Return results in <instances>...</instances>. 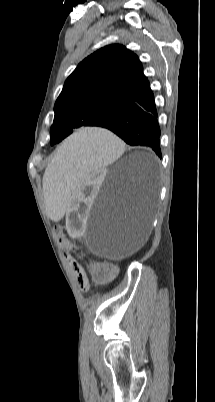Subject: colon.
Segmentation results:
<instances>
[{"label": "colon", "instance_id": "1", "mask_svg": "<svg viewBox=\"0 0 215 402\" xmlns=\"http://www.w3.org/2000/svg\"><path fill=\"white\" fill-rule=\"evenodd\" d=\"M55 230H62L63 224L62 223H55L54 224ZM54 237L57 239L60 245H63L64 251L66 254H77L80 251L79 246L75 245V241L68 239L63 232H56ZM82 258H88V253H82ZM72 268L80 273L82 268L79 263L74 260H71ZM93 274L98 282H105L116 276L117 268L113 264L109 263H101L97 264L93 269Z\"/></svg>", "mask_w": 215, "mask_h": 402}]
</instances>
